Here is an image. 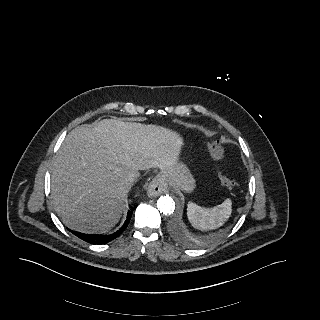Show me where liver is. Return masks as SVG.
<instances>
[{"label": "liver", "mask_w": 320, "mask_h": 320, "mask_svg": "<svg viewBox=\"0 0 320 320\" xmlns=\"http://www.w3.org/2000/svg\"><path fill=\"white\" fill-rule=\"evenodd\" d=\"M183 139L174 131L104 119L65 138L52 166L51 196L58 216L82 233H106L120 220L130 188L127 175L170 169Z\"/></svg>", "instance_id": "obj_1"}]
</instances>
